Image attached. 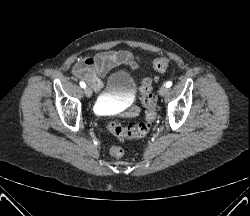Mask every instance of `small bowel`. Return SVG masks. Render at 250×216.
Returning <instances> with one entry per match:
<instances>
[{
    "label": "small bowel",
    "instance_id": "c3829d8e",
    "mask_svg": "<svg viewBox=\"0 0 250 216\" xmlns=\"http://www.w3.org/2000/svg\"><path fill=\"white\" fill-rule=\"evenodd\" d=\"M118 66L137 70L139 58L124 50L105 51L82 58L73 67V74L86 81L95 91H100L104 86L101 78Z\"/></svg>",
    "mask_w": 250,
    "mask_h": 216
}]
</instances>
